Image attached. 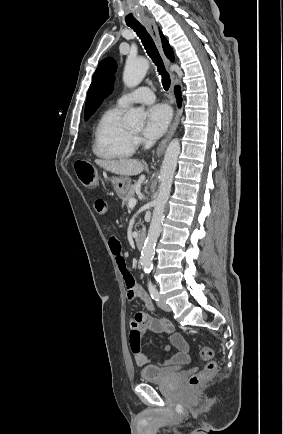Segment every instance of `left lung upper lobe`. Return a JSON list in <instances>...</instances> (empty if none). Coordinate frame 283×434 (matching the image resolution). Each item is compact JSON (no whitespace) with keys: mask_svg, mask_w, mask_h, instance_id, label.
<instances>
[{"mask_svg":"<svg viewBox=\"0 0 283 434\" xmlns=\"http://www.w3.org/2000/svg\"><path fill=\"white\" fill-rule=\"evenodd\" d=\"M117 64L113 58L104 59L97 67L89 87L85 104V120L100 106L103 99L113 90L114 73Z\"/></svg>","mask_w":283,"mask_h":434,"instance_id":"5c2ea615","label":"left lung upper lobe"}]
</instances>
